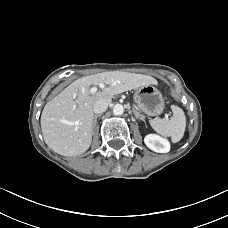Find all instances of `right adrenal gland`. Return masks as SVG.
<instances>
[{
	"label": "right adrenal gland",
	"instance_id": "right-adrenal-gland-1",
	"mask_svg": "<svg viewBox=\"0 0 228 228\" xmlns=\"http://www.w3.org/2000/svg\"><path fill=\"white\" fill-rule=\"evenodd\" d=\"M100 116H101V114H97V115L94 116V118H93V127L96 126V124H97V118L100 117Z\"/></svg>",
	"mask_w": 228,
	"mask_h": 228
}]
</instances>
